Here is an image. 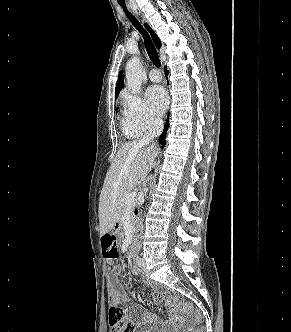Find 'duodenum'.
<instances>
[{"mask_svg": "<svg viewBox=\"0 0 291 332\" xmlns=\"http://www.w3.org/2000/svg\"><path fill=\"white\" fill-rule=\"evenodd\" d=\"M134 254H135V243L132 242V243L130 244V246H129L128 255H129L130 257H133Z\"/></svg>", "mask_w": 291, "mask_h": 332, "instance_id": "1", "label": "duodenum"}]
</instances>
